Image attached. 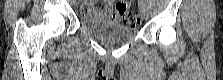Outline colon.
I'll list each match as a JSON object with an SVG mask.
<instances>
[{"mask_svg":"<svg viewBox=\"0 0 223 80\" xmlns=\"http://www.w3.org/2000/svg\"><path fill=\"white\" fill-rule=\"evenodd\" d=\"M115 12L120 15L123 21L131 26L141 22V15L138 11L130 9L128 1H119L115 4Z\"/></svg>","mask_w":223,"mask_h":80,"instance_id":"5ec220e1","label":"colon"}]
</instances>
